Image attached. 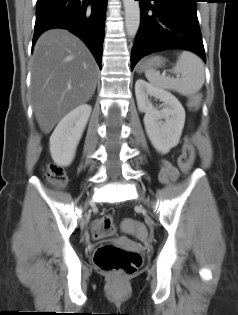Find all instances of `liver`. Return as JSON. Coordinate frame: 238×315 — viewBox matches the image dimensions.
I'll return each instance as SVG.
<instances>
[{
	"label": "liver",
	"instance_id": "obj_1",
	"mask_svg": "<svg viewBox=\"0 0 238 315\" xmlns=\"http://www.w3.org/2000/svg\"><path fill=\"white\" fill-rule=\"evenodd\" d=\"M97 73L91 52L69 31L51 29L39 37L32 59L31 96L43 133H50L69 111L92 97Z\"/></svg>",
	"mask_w": 238,
	"mask_h": 315
}]
</instances>
